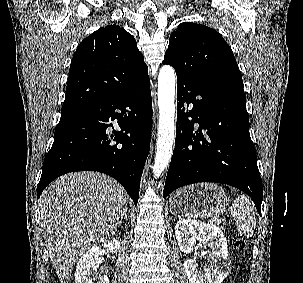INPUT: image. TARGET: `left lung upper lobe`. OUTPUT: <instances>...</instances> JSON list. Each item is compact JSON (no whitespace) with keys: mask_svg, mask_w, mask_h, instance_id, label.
<instances>
[{"mask_svg":"<svg viewBox=\"0 0 303 283\" xmlns=\"http://www.w3.org/2000/svg\"><path fill=\"white\" fill-rule=\"evenodd\" d=\"M164 64L189 78H225L242 85L234 54L221 34L207 26L183 22L172 32Z\"/></svg>","mask_w":303,"mask_h":283,"instance_id":"obj_1","label":"left lung upper lobe"}]
</instances>
